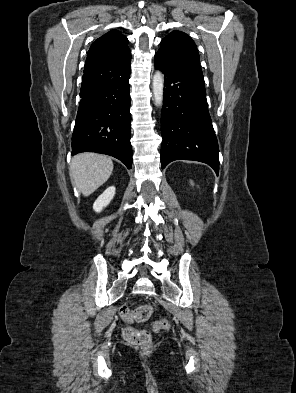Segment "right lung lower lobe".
<instances>
[{"label":"right lung lower lobe","instance_id":"1","mask_svg":"<svg viewBox=\"0 0 296 393\" xmlns=\"http://www.w3.org/2000/svg\"><path fill=\"white\" fill-rule=\"evenodd\" d=\"M130 62V52L86 59L72 135L73 155L107 154L131 168Z\"/></svg>","mask_w":296,"mask_h":393}]
</instances>
